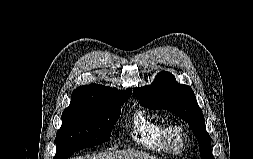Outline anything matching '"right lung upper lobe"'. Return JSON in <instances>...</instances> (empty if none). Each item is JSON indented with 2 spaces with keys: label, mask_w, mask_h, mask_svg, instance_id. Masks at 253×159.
<instances>
[{
  "label": "right lung upper lobe",
  "mask_w": 253,
  "mask_h": 159,
  "mask_svg": "<svg viewBox=\"0 0 253 159\" xmlns=\"http://www.w3.org/2000/svg\"><path fill=\"white\" fill-rule=\"evenodd\" d=\"M131 92L132 90L130 88L120 91L116 88L99 84L83 85L79 86L72 92L71 102L127 100L131 95Z\"/></svg>",
  "instance_id": "obj_1"
}]
</instances>
